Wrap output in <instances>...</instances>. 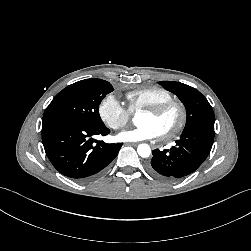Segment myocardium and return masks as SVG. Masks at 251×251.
Segmentation results:
<instances>
[{
  "mask_svg": "<svg viewBox=\"0 0 251 251\" xmlns=\"http://www.w3.org/2000/svg\"><path fill=\"white\" fill-rule=\"evenodd\" d=\"M171 109H177L179 113V120L174 128L171 130L159 134L162 140H170L178 136L186 126L187 123V110L185 105L179 100L172 99L159 105L145 108L144 113L151 114L153 116H160Z\"/></svg>",
  "mask_w": 251,
  "mask_h": 251,
  "instance_id": "1",
  "label": "myocardium"
}]
</instances>
